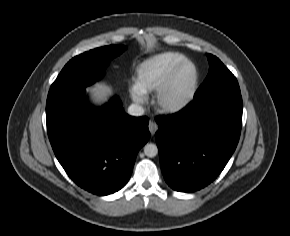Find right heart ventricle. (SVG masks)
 Here are the masks:
<instances>
[{
	"label": "right heart ventricle",
	"mask_w": 290,
	"mask_h": 236,
	"mask_svg": "<svg viewBox=\"0 0 290 236\" xmlns=\"http://www.w3.org/2000/svg\"><path fill=\"white\" fill-rule=\"evenodd\" d=\"M184 60L186 57L177 52H164L147 59L137 69L136 85L143 92L157 90Z\"/></svg>",
	"instance_id": "obj_1"
}]
</instances>
